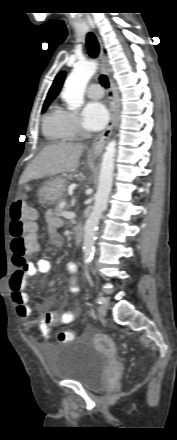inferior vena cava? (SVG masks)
<instances>
[{
  "label": "inferior vena cava",
  "instance_id": "602c4592",
  "mask_svg": "<svg viewBox=\"0 0 177 440\" xmlns=\"http://www.w3.org/2000/svg\"><path fill=\"white\" fill-rule=\"evenodd\" d=\"M86 137H90V134H86Z\"/></svg>",
  "mask_w": 177,
  "mask_h": 440
}]
</instances>
